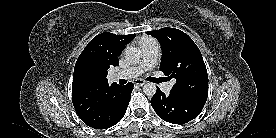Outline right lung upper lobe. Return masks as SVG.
I'll return each mask as SVG.
<instances>
[{"mask_svg": "<svg viewBox=\"0 0 276 138\" xmlns=\"http://www.w3.org/2000/svg\"><path fill=\"white\" fill-rule=\"evenodd\" d=\"M136 34L104 32L92 39L77 59L72 83V100L81 120L90 127L109 119L120 85L108 84L109 68L119 65L118 56Z\"/></svg>", "mask_w": 276, "mask_h": 138, "instance_id": "right-lung-upper-lobe-1", "label": "right lung upper lobe"}]
</instances>
